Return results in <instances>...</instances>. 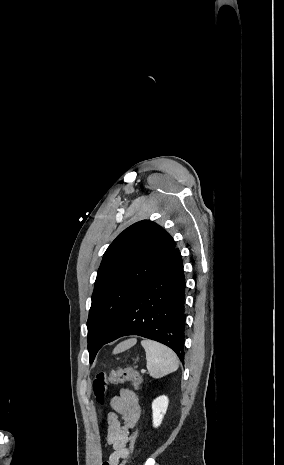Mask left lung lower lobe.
Segmentation results:
<instances>
[{"label":"left lung lower lobe","instance_id":"left-lung-lower-lobe-1","mask_svg":"<svg viewBox=\"0 0 284 465\" xmlns=\"http://www.w3.org/2000/svg\"><path fill=\"white\" fill-rule=\"evenodd\" d=\"M185 277L179 249L130 300L104 345L122 336L138 335L170 347L184 362Z\"/></svg>","mask_w":284,"mask_h":465}]
</instances>
